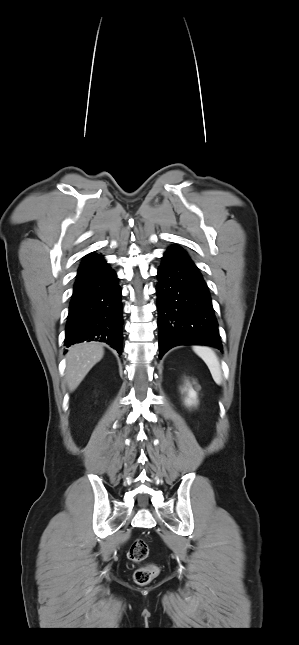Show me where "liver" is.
Instances as JSON below:
<instances>
[{
  "instance_id": "1",
  "label": "liver",
  "mask_w": 299,
  "mask_h": 645,
  "mask_svg": "<svg viewBox=\"0 0 299 645\" xmlns=\"http://www.w3.org/2000/svg\"><path fill=\"white\" fill-rule=\"evenodd\" d=\"M103 355V347L96 342L76 344L69 349L66 355V381L70 391L79 386Z\"/></svg>"
}]
</instances>
